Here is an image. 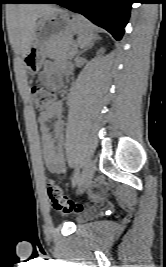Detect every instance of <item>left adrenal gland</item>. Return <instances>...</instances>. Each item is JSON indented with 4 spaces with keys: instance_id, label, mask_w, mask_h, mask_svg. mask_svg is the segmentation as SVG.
I'll return each instance as SVG.
<instances>
[{
    "instance_id": "1",
    "label": "left adrenal gland",
    "mask_w": 166,
    "mask_h": 267,
    "mask_svg": "<svg viewBox=\"0 0 166 267\" xmlns=\"http://www.w3.org/2000/svg\"><path fill=\"white\" fill-rule=\"evenodd\" d=\"M91 47V46H90ZM88 49V48H87ZM87 49H84L83 51H80L79 53H78V55H80V54H82L84 51H86Z\"/></svg>"
}]
</instances>
